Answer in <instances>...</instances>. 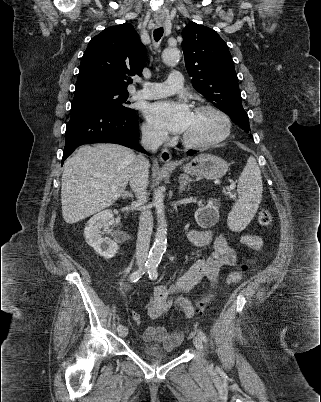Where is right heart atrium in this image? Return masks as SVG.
Returning a JSON list of instances; mask_svg holds the SVG:
<instances>
[{"label": "right heart atrium", "instance_id": "right-heart-atrium-1", "mask_svg": "<svg viewBox=\"0 0 321 402\" xmlns=\"http://www.w3.org/2000/svg\"><path fill=\"white\" fill-rule=\"evenodd\" d=\"M143 135L144 137L149 141L153 143L161 142L166 139V134L154 127H152L149 124H144L143 125Z\"/></svg>", "mask_w": 321, "mask_h": 402}]
</instances>
